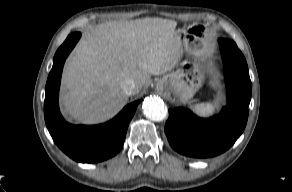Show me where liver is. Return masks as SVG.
Returning a JSON list of instances; mask_svg holds the SVG:
<instances>
[{
	"label": "liver",
	"instance_id": "obj_1",
	"mask_svg": "<svg viewBox=\"0 0 292 192\" xmlns=\"http://www.w3.org/2000/svg\"><path fill=\"white\" fill-rule=\"evenodd\" d=\"M177 22L162 18L109 21L87 32L65 66L63 112L83 124L103 122L127 101L121 87L135 82L134 95L151 75L171 71L183 56Z\"/></svg>",
	"mask_w": 292,
	"mask_h": 192
}]
</instances>
